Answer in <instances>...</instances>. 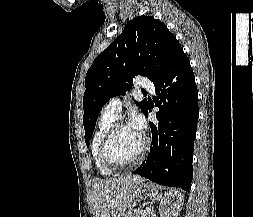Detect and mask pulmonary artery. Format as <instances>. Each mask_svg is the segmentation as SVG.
<instances>
[{"mask_svg": "<svg viewBox=\"0 0 253 217\" xmlns=\"http://www.w3.org/2000/svg\"><path fill=\"white\" fill-rule=\"evenodd\" d=\"M140 87L144 88L146 91L151 93L154 92V85L148 80H143L140 83ZM121 100L119 97L111 98L106 105L103 107L102 114L117 118L121 111Z\"/></svg>", "mask_w": 253, "mask_h": 217, "instance_id": "e3ab8cb5", "label": "pulmonary artery"}]
</instances>
